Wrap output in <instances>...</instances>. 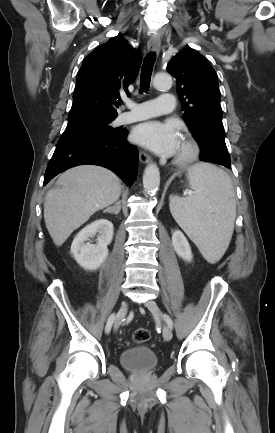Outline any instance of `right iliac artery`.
Here are the masks:
<instances>
[{"label": "right iliac artery", "mask_w": 275, "mask_h": 433, "mask_svg": "<svg viewBox=\"0 0 275 433\" xmlns=\"http://www.w3.org/2000/svg\"><path fill=\"white\" fill-rule=\"evenodd\" d=\"M114 319H115V314L113 313V314H111V315L109 316V318H108V321H107V324H106V327H105V332H106V333H109V332H110L111 327H112V324H113V322H114Z\"/></svg>", "instance_id": "obj_1"}]
</instances>
